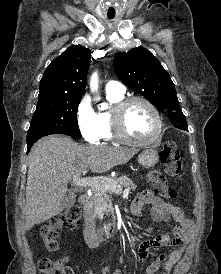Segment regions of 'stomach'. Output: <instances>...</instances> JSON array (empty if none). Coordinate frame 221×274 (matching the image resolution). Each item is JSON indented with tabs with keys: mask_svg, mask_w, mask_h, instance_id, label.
I'll return each instance as SVG.
<instances>
[{
	"mask_svg": "<svg viewBox=\"0 0 221 274\" xmlns=\"http://www.w3.org/2000/svg\"><path fill=\"white\" fill-rule=\"evenodd\" d=\"M158 159V151L154 148H146L138 156L139 163L145 168L154 166Z\"/></svg>",
	"mask_w": 221,
	"mask_h": 274,
	"instance_id": "1",
	"label": "stomach"
}]
</instances>
